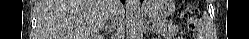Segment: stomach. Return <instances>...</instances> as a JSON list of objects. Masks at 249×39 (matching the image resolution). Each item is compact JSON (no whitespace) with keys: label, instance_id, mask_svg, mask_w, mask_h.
I'll use <instances>...</instances> for the list:
<instances>
[{"label":"stomach","instance_id":"stomach-1","mask_svg":"<svg viewBox=\"0 0 249 39\" xmlns=\"http://www.w3.org/2000/svg\"><path fill=\"white\" fill-rule=\"evenodd\" d=\"M175 11V5L172 0H146L144 3V12L154 20L163 21Z\"/></svg>","mask_w":249,"mask_h":39}]
</instances>
